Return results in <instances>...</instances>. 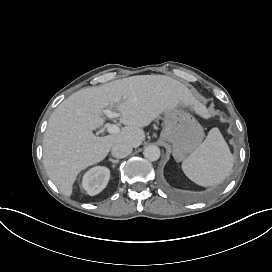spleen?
Instances as JSON below:
<instances>
[{
    "label": "spleen",
    "mask_w": 272,
    "mask_h": 272,
    "mask_svg": "<svg viewBox=\"0 0 272 272\" xmlns=\"http://www.w3.org/2000/svg\"><path fill=\"white\" fill-rule=\"evenodd\" d=\"M234 157L220 130L212 128L206 139L182 163L184 174L208 187L222 183L232 172Z\"/></svg>",
    "instance_id": "1"
}]
</instances>
